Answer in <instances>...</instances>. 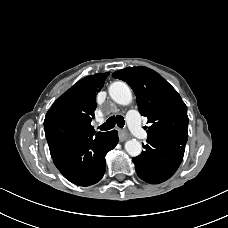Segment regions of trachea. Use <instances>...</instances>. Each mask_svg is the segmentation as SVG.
Masks as SVG:
<instances>
[{"label": "trachea", "mask_w": 228, "mask_h": 228, "mask_svg": "<svg viewBox=\"0 0 228 228\" xmlns=\"http://www.w3.org/2000/svg\"><path fill=\"white\" fill-rule=\"evenodd\" d=\"M117 125L120 128H123L125 125L124 117L121 115L111 116L104 124L100 125L98 128L102 131H107Z\"/></svg>", "instance_id": "1"}]
</instances>
